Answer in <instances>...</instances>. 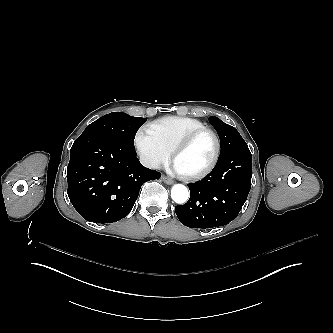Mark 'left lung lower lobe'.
Masks as SVG:
<instances>
[{
	"mask_svg": "<svg viewBox=\"0 0 333 333\" xmlns=\"http://www.w3.org/2000/svg\"><path fill=\"white\" fill-rule=\"evenodd\" d=\"M252 155L241 147L219 158L201 181L189 184L190 198L176 206L182 224L191 228H212L228 224L242 209L251 188Z\"/></svg>",
	"mask_w": 333,
	"mask_h": 333,
	"instance_id": "obj_1",
	"label": "left lung lower lobe"
}]
</instances>
